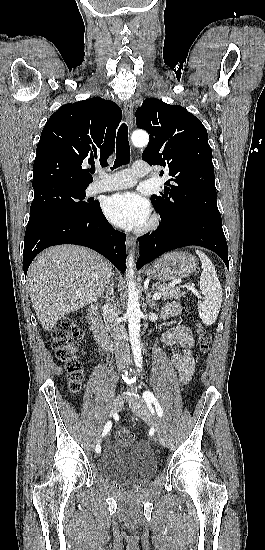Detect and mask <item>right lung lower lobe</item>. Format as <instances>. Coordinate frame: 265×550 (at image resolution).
<instances>
[{"mask_svg": "<svg viewBox=\"0 0 265 550\" xmlns=\"http://www.w3.org/2000/svg\"><path fill=\"white\" fill-rule=\"evenodd\" d=\"M126 235L105 219L99 203L87 213H60L29 220L24 238L25 275L34 257L47 247L76 244L89 247L109 259L121 272L126 270Z\"/></svg>", "mask_w": 265, "mask_h": 550, "instance_id": "98d812e1", "label": "right lung lower lobe"}]
</instances>
